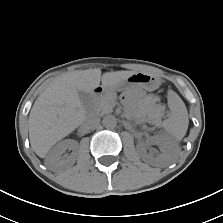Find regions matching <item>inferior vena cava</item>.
Wrapping results in <instances>:
<instances>
[{"instance_id":"1","label":"inferior vena cava","mask_w":223,"mask_h":223,"mask_svg":"<svg viewBox=\"0 0 223 223\" xmlns=\"http://www.w3.org/2000/svg\"><path fill=\"white\" fill-rule=\"evenodd\" d=\"M99 125H100V118L95 117V116H91L87 118L86 121L84 122V127L86 129H95Z\"/></svg>"}]
</instances>
